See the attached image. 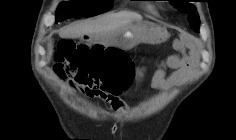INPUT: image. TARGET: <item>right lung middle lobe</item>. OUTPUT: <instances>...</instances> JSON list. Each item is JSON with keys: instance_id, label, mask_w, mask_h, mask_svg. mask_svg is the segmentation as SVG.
Listing matches in <instances>:
<instances>
[{"instance_id": "1", "label": "right lung middle lobe", "mask_w": 236, "mask_h": 140, "mask_svg": "<svg viewBox=\"0 0 236 140\" xmlns=\"http://www.w3.org/2000/svg\"><path fill=\"white\" fill-rule=\"evenodd\" d=\"M111 7V0H72L62 2L56 13V21L71 17L93 16L107 11Z\"/></svg>"}]
</instances>
